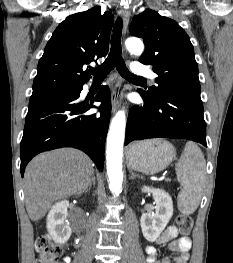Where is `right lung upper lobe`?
I'll list each match as a JSON object with an SVG mask.
<instances>
[{
    "instance_id": "1",
    "label": "right lung upper lobe",
    "mask_w": 233,
    "mask_h": 263,
    "mask_svg": "<svg viewBox=\"0 0 233 263\" xmlns=\"http://www.w3.org/2000/svg\"><path fill=\"white\" fill-rule=\"evenodd\" d=\"M113 18L94 7L68 16L56 28L37 66L31 97L83 86L92 61L107 54Z\"/></svg>"
}]
</instances>
